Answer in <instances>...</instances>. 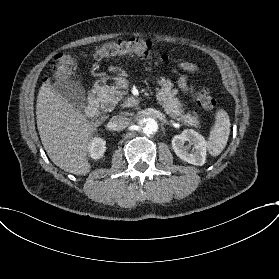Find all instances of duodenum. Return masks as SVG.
I'll list each match as a JSON object with an SVG mask.
<instances>
[{"instance_id":"duodenum-1","label":"duodenum","mask_w":279,"mask_h":279,"mask_svg":"<svg viewBox=\"0 0 279 279\" xmlns=\"http://www.w3.org/2000/svg\"><path fill=\"white\" fill-rule=\"evenodd\" d=\"M128 101L130 103L137 102V99L135 97H129ZM85 113L89 117H95L99 114V104L98 101L95 99H90L88 102V105L86 107Z\"/></svg>"}]
</instances>
